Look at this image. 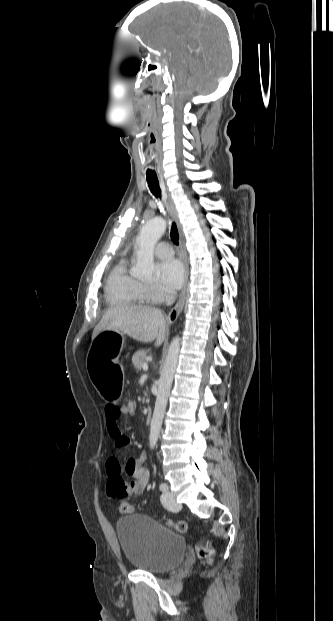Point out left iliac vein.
<instances>
[{
    "instance_id": "4c4485c4",
    "label": "left iliac vein",
    "mask_w": 333,
    "mask_h": 621,
    "mask_svg": "<svg viewBox=\"0 0 333 621\" xmlns=\"http://www.w3.org/2000/svg\"><path fill=\"white\" fill-rule=\"evenodd\" d=\"M161 502L163 506L168 510L177 511L181 508V505L177 503L174 494L172 492H169L168 490L163 493L161 497Z\"/></svg>"
}]
</instances>
